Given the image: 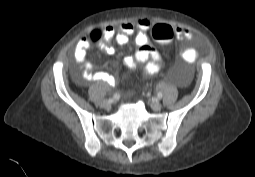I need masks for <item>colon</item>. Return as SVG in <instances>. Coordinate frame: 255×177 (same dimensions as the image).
I'll return each mask as SVG.
<instances>
[{
  "instance_id": "colon-1",
  "label": "colon",
  "mask_w": 255,
  "mask_h": 177,
  "mask_svg": "<svg viewBox=\"0 0 255 177\" xmlns=\"http://www.w3.org/2000/svg\"><path fill=\"white\" fill-rule=\"evenodd\" d=\"M92 42H96L100 38V34L97 32H91L88 34ZM152 36L159 43H168L174 36V30L168 23H159L152 28Z\"/></svg>"
}]
</instances>
